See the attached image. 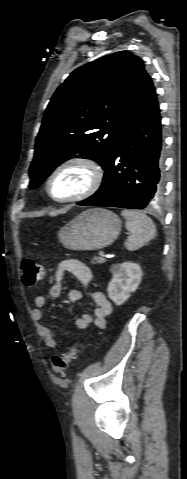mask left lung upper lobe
I'll use <instances>...</instances> for the list:
<instances>
[{"mask_svg":"<svg viewBox=\"0 0 187 479\" xmlns=\"http://www.w3.org/2000/svg\"><path fill=\"white\" fill-rule=\"evenodd\" d=\"M147 75L141 58L119 51L74 70L54 93L36 138L31 189L71 158L104 168Z\"/></svg>","mask_w":187,"mask_h":479,"instance_id":"left-lung-upper-lobe-1","label":"left lung upper lobe"}]
</instances>
